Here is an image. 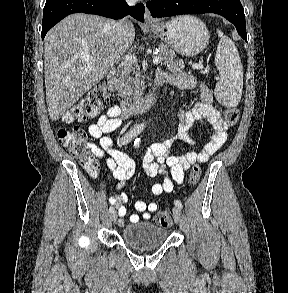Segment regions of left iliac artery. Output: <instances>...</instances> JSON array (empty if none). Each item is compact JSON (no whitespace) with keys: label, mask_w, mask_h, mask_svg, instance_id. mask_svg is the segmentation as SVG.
<instances>
[{"label":"left iliac artery","mask_w":288,"mask_h":293,"mask_svg":"<svg viewBox=\"0 0 288 293\" xmlns=\"http://www.w3.org/2000/svg\"><path fill=\"white\" fill-rule=\"evenodd\" d=\"M140 144V139L137 138L135 141H134V146L135 147H138ZM175 205L178 207V208H182V203L179 201V200H175L174 201Z\"/></svg>","instance_id":"left-iliac-artery-1"}]
</instances>
